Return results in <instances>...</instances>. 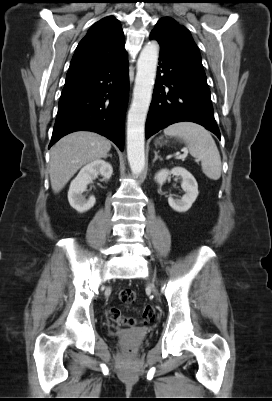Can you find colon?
Segmentation results:
<instances>
[{
	"instance_id": "1",
	"label": "colon",
	"mask_w": 272,
	"mask_h": 401,
	"mask_svg": "<svg viewBox=\"0 0 272 401\" xmlns=\"http://www.w3.org/2000/svg\"><path fill=\"white\" fill-rule=\"evenodd\" d=\"M119 298L125 304H132L136 299V295L134 291L131 289H123L119 293ZM109 317L118 326L133 327L138 324V321L136 319L124 317L121 314V312L114 307L109 310ZM154 320H155V309L152 305L146 304L144 306L143 316L140 323L148 325L153 323Z\"/></svg>"
}]
</instances>
